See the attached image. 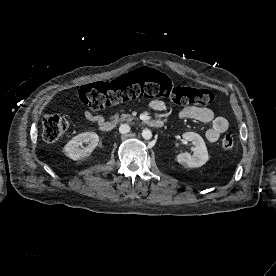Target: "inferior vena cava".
<instances>
[{"label":"inferior vena cava","instance_id":"602c4592","mask_svg":"<svg viewBox=\"0 0 276 276\" xmlns=\"http://www.w3.org/2000/svg\"><path fill=\"white\" fill-rule=\"evenodd\" d=\"M130 131V126L128 124H122L120 127H119V132L121 134H126Z\"/></svg>","mask_w":276,"mask_h":276}]
</instances>
